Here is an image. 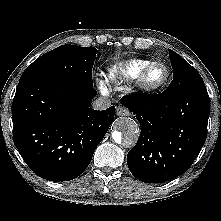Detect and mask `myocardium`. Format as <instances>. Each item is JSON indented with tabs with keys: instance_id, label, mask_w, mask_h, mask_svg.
<instances>
[{
	"instance_id": "1",
	"label": "myocardium",
	"mask_w": 221,
	"mask_h": 221,
	"mask_svg": "<svg viewBox=\"0 0 221 221\" xmlns=\"http://www.w3.org/2000/svg\"><path fill=\"white\" fill-rule=\"evenodd\" d=\"M157 66H161L165 69V76L160 82L151 83L148 81V75L150 71ZM169 80L170 69L168 68V66L162 62H152L148 66H146L139 74L136 85L137 88L143 93H154L163 89L168 84Z\"/></svg>"
}]
</instances>
